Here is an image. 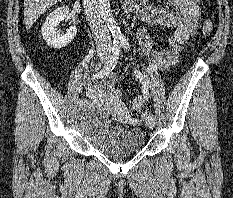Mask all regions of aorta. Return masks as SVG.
I'll return each instance as SVG.
<instances>
[{
	"label": "aorta",
	"mask_w": 233,
	"mask_h": 198,
	"mask_svg": "<svg viewBox=\"0 0 233 198\" xmlns=\"http://www.w3.org/2000/svg\"><path fill=\"white\" fill-rule=\"evenodd\" d=\"M102 5H103L102 13L114 41L115 42L123 41L125 37L121 33L120 28L118 27L115 19L113 18L111 6H110V0H102Z\"/></svg>",
	"instance_id": "aorta-1"
}]
</instances>
